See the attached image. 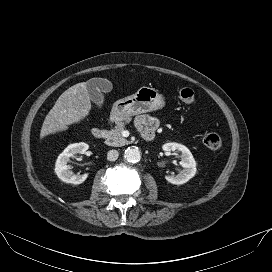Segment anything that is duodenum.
<instances>
[{"instance_id":"410a0bca","label":"duodenum","mask_w":272,"mask_h":272,"mask_svg":"<svg viewBox=\"0 0 272 272\" xmlns=\"http://www.w3.org/2000/svg\"><path fill=\"white\" fill-rule=\"evenodd\" d=\"M114 120H115V117L112 119V121H114ZM92 135H93V137H94L95 139H98V140L103 139V138L106 137V130L103 129V128H94V129L92 130ZM153 138H154V132H149V133L146 135V137H145V139H146L147 141H150V140H152Z\"/></svg>"}]
</instances>
